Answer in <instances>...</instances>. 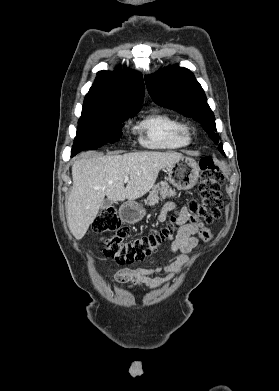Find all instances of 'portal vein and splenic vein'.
Segmentation results:
<instances>
[{
  "instance_id": "obj_1",
  "label": "portal vein and splenic vein",
  "mask_w": 279,
  "mask_h": 391,
  "mask_svg": "<svg viewBox=\"0 0 279 391\" xmlns=\"http://www.w3.org/2000/svg\"><path fill=\"white\" fill-rule=\"evenodd\" d=\"M128 180H129V178L126 177V178L124 179V183L128 182Z\"/></svg>"
}]
</instances>
